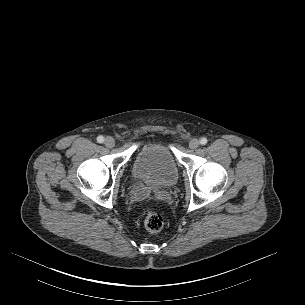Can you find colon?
Masks as SVG:
<instances>
[{
    "label": "colon",
    "mask_w": 305,
    "mask_h": 305,
    "mask_svg": "<svg viewBox=\"0 0 305 305\" xmlns=\"http://www.w3.org/2000/svg\"><path fill=\"white\" fill-rule=\"evenodd\" d=\"M140 215L145 228L149 232L156 233L162 229L164 221L160 214L151 210H143Z\"/></svg>",
    "instance_id": "1"
}]
</instances>
